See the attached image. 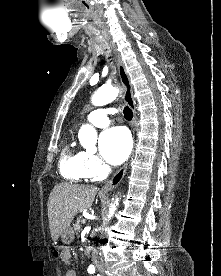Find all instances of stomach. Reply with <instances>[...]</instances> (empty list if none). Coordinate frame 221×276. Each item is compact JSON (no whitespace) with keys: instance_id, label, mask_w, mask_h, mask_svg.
<instances>
[{"instance_id":"stomach-1","label":"stomach","mask_w":221,"mask_h":276,"mask_svg":"<svg viewBox=\"0 0 221 276\" xmlns=\"http://www.w3.org/2000/svg\"><path fill=\"white\" fill-rule=\"evenodd\" d=\"M61 240L64 244L69 245L74 240V231L69 227L65 232L61 234Z\"/></svg>"}]
</instances>
